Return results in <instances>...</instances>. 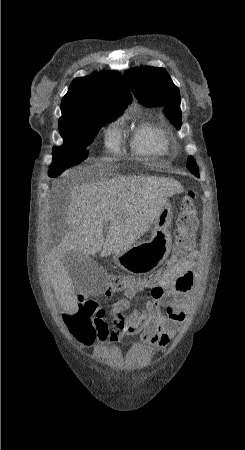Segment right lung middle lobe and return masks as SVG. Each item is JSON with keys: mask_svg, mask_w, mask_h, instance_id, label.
I'll return each mask as SVG.
<instances>
[{"mask_svg": "<svg viewBox=\"0 0 245 450\" xmlns=\"http://www.w3.org/2000/svg\"><path fill=\"white\" fill-rule=\"evenodd\" d=\"M126 108L96 104L76 114L61 117L59 131L64 143L52 153L53 164L48 176L57 177L64 170L85 160L88 157L86 147L92 143L100 128L115 116L122 114Z\"/></svg>", "mask_w": 245, "mask_h": 450, "instance_id": "dd1d6c3e", "label": "right lung middle lobe"}]
</instances>
